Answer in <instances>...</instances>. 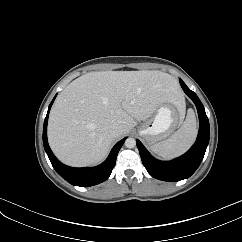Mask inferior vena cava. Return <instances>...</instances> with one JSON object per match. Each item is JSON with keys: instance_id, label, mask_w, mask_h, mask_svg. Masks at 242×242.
<instances>
[{"instance_id": "602c4592", "label": "inferior vena cava", "mask_w": 242, "mask_h": 242, "mask_svg": "<svg viewBox=\"0 0 242 242\" xmlns=\"http://www.w3.org/2000/svg\"><path fill=\"white\" fill-rule=\"evenodd\" d=\"M110 133L113 135V136H119L121 133H122V128L120 125L118 124H113L111 125L110 127Z\"/></svg>"}]
</instances>
